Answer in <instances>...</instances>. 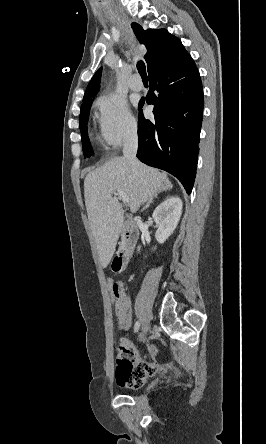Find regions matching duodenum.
Wrapping results in <instances>:
<instances>
[{
    "label": "duodenum",
    "instance_id": "obj_1",
    "mask_svg": "<svg viewBox=\"0 0 266 444\" xmlns=\"http://www.w3.org/2000/svg\"><path fill=\"white\" fill-rule=\"evenodd\" d=\"M137 237V227L131 220H126L124 223V232L120 249L114 258V265H116L117 271L122 272L128 267L133 253V246L137 240Z\"/></svg>",
    "mask_w": 266,
    "mask_h": 444
}]
</instances>
